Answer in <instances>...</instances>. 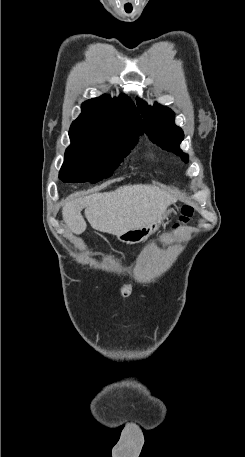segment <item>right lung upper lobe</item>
Here are the masks:
<instances>
[{"instance_id": "1", "label": "right lung upper lobe", "mask_w": 245, "mask_h": 457, "mask_svg": "<svg viewBox=\"0 0 245 457\" xmlns=\"http://www.w3.org/2000/svg\"><path fill=\"white\" fill-rule=\"evenodd\" d=\"M81 115L73 123L129 126L143 130L142 119L129 97L102 95L85 101Z\"/></svg>"}]
</instances>
